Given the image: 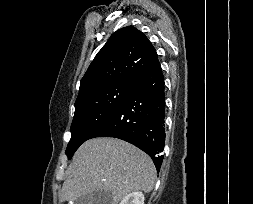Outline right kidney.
Instances as JSON below:
<instances>
[{
    "mask_svg": "<svg viewBox=\"0 0 253 204\" xmlns=\"http://www.w3.org/2000/svg\"><path fill=\"white\" fill-rule=\"evenodd\" d=\"M144 195L142 192H132L126 195L119 204H144Z\"/></svg>",
    "mask_w": 253,
    "mask_h": 204,
    "instance_id": "right-kidney-1",
    "label": "right kidney"
}]
</instances>
